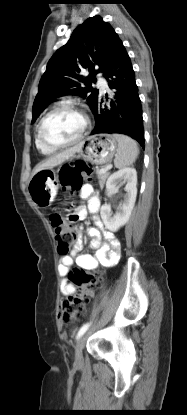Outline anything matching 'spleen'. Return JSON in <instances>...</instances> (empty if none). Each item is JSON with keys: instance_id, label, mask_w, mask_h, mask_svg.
Masks as SVG:
<instances>
[{"instance_id": "3e777b00", "label": "spleen", "mask_w": 187, "mask_h": 415, "mask_svg": "<svg viewBox=\"0 0 187 415\" xmlns=\"http://www.w3.org/2000/svg\"><path fill=\"white\" fill-rule=\"evenodd\" d=\"M113 136L118 142L117 154L114 159L115 167L124 168L133 164L139 154L136 141L122 134H114Z\"/></svg>"}]
</instances>
